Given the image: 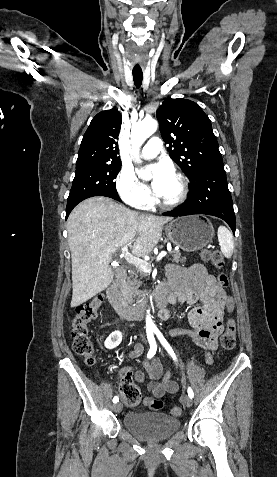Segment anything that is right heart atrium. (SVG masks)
I'll return each mask as SVG.
<instances>
[{
    "label": "right heart atrium",
    "mask_w": 277,
    "mask_h": 477,
    "mask_svg": "<svg viewBox=\"0 0 277 477\" xmlns=\"http://www.w3.org/2000/svg\"><path fill=\"white\" fill-rule=\"evenodd\" d=\"M116 188L121 199L131 207L145 209L152 204L150 191L138 180L132 169L123 167L120 170Z\"/></svg>",
    "instance_id": "right-heart-atrium-1"
}]
</instances>
